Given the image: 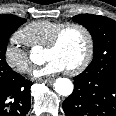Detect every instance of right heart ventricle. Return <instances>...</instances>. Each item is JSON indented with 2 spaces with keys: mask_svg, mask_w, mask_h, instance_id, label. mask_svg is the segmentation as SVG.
Segmentation results:
<instances>
[{
  "mask_svg": "<svg viewBox=\"0 0 116 116\" xmlns=\"http://www.w3.org/2000/svg\"><path fill=\"white\" fill-rule=\"evenodd\" d=\"M64 22L53 20H37L27 24L17 33L23 42L31 47H45L53 34Z\"/></svg>",
  "mask_w": 116,
  "mask_h": 116,
  "instance_id": "1",
  "label": "right heart ventricle"
}]
</instances>
